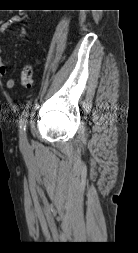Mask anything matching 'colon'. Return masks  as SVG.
I'll list each match as a JSON object with an SVG mask.
<instances>
[{"label":"colon","instance_id":"5ec220e1","mask_svg":"<svg viewBox=\"0 0 138 253\" xmlns=\"http://www.w3.org/2000/svg\"><path fill=\"white\" fill-rule=\"evenodd\" d=\"M34 82V70L32 65L27 64L21 73L20 84L24 89H30Z\"/></svg>","mask_w":138,"mask_h":253}]
</instances>
